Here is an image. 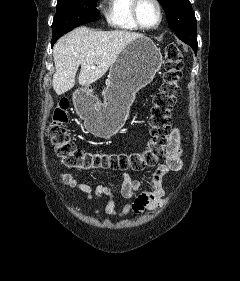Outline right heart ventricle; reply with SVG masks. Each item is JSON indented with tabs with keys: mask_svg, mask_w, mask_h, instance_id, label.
I'll return each mask as SVG.
<instances>
[{
	"mask_svg": "<svg viewBox=\"0 0 240 281\" xmlns=\"http://www.w3.org/2000/svg\"><path fill=\"white\" fill-rule=\"evenodd\" d=\"M133 0H106L105 18L107 23L116 30L138 31L131 7Z\"/></svg>",
	"mask_w": 240,
	"mask_h": 281,
	"instance_id": "right-heart-ventricle-1",
	"label": "right heart ventricle"
}]
</instances>
